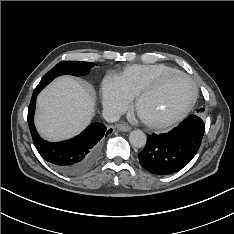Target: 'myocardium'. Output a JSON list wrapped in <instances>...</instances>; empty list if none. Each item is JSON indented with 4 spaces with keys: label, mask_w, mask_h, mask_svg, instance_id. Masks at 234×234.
<instances>
[{
    "label": "myocardium",
    "mask_w": 234,
    "mask_h": 234,
    "mask_svg": "<svg viewBox=\"0 0 234 234\" xmlns=\"http://www.w3.org/2000/svg\"><path fill=\"white\" fill-rule=\"evenodd\" d=\"M176 76L187 79L192 85L193 94L189 103L180 112L171 116L155 118V119L144 117L140 111V107H141L143 100L147 98L148 96H150L151 94H153L154 92H156L167 80ZM197 98H198V88L193 78L184 72L175 71V72L164 74L163 76L158 78L156 81H154L151 85L141 90L135 97L134 107H135V111L137 115L139 116V118L142 120L144 124L153 128H163V127H167L169 125L175 124L179 122L180 120H182L185 116H187V114L194 107L197 101Z\"/></svg>",
    "instance_id": "obj_1"
}]
</instances>
